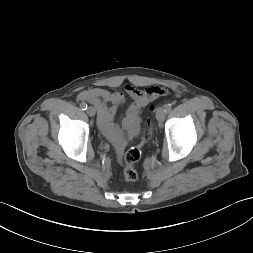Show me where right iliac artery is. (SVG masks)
Here are the masks:
<instances>
[{
    "instance_id": "obj_1",
    "label": "right iliac artery",
    "mask_w": 253,
    "mask_h": 253,
    "mask_svg": "<svg viewBox=\"0 0 253 253\" xmlns=\"http://www.w3.org/2000/svg\"><path fill=\"white\" fill-rule=\"evenodd\" d=\"M80 108H81L82 110H86V109H87V104L84 103V102H82V103L80 104Z\"/></svg>"
}]
</instances>
